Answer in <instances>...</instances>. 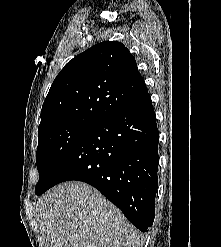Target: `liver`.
Wrapping results in <instances>:
<instances>
[{
  "label": "liver",
  "mask_w": 221,
  "mask_h": 247,
  "mask_svg": "<svg viewBox=\"0 0 221 247\" xmlns=\"http://www.w3.org/2000/svg\"><path fill=\"white\" fill-rule=\"evenodd\" d=\"M47 247H139L137 230L99 191L65 182L36 204Z\"/></svg>",
  "instance_id": "liver-1"
}]
</instances>
